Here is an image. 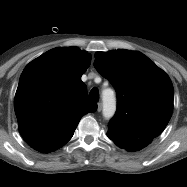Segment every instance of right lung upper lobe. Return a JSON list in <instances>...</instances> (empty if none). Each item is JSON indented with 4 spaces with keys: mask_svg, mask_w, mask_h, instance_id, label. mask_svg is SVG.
Returning a JSON list of instances; mask_svg holds the SVG:
<instances>
[{
    "mask_svg": "<svg viewBox=\"0 0 187 187\" xmlns=\"http://www.w3.org/2000/svg\"><path fill=\"white\" fill-rule=\"evenodd\" d=\"M91 56L77 47L54 48L23 70L14 108L19 131L34 149L48 153L73 136L80 119L95 112L81 76Z\"/></svg>",
    "mask_w": 187,
    "mask_h": 187,
    "instance_id": "obj_1",
    "label": "right lung upper lobe"
}]
</instances>
